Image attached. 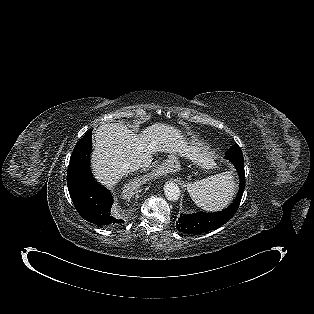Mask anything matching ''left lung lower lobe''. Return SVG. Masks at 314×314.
<instances>
[{
  "label": "left lung lower lobe",
  "instance_id": "1",
  "mask_svg": "<svg viewBox=\"0 0 314 314\" xmlns=\"http://www.w3.org/2000/svg\"><path fill=\"white\" fill-rule=\"evenodd\" d=\"M240 178V188L234 203L227 209L217 213L181 214L176 228L178 231L189 234H201L214 230L228 222L236 213L245 188L244 161L234 162Z\"/></svg>",
  "mask_w": 314,
  "mask_h": 314
}]
</instances>
